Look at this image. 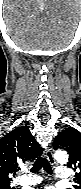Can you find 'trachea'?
<instances>
[{"label":"trachea","instance_id":"trachea-1","mask_svg":"<svg viewBox=\"0 0 81 189\" xmlns=\"http://www.w3.org/2000/svg\"><path fill=\"white\" fill-rule=\"evenodd\" d=\"M44 168V170L48 173V174H52V167L49 164L48 160L44 157H38L37 160L35 161V163L33 164V167L31 168V172L32 173H36L38 172L41 168Z\"/></svg>","mask_w":81,"mask_h":189}]
</instances>
